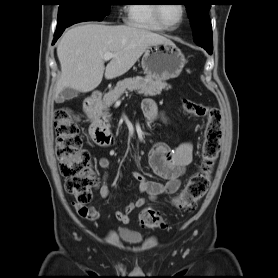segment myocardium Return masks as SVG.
Returning <instances> with one entry per match:
<instances>
[{"label": "myocardium", "instance_id": "myocardium-1", "mask_svg": "<svg viewBox=\"0 0 278 278\" xmlns=\"http://www.w3.org/2000/svg\"><path fill=\"white\" fill-rule=\"evenodd\" d=\"M181 9H182V14H181V18L179 20V22L175 25V26H170L168 25L162 18L161 16V5L156 4L153 7V14H154V18L157 21V23L166 30H175L177 29L184 21L186 14H187V8L184 4H181Z\"/></svg>", "mask_w": 278, "mask_h": 278}]
</instances>
